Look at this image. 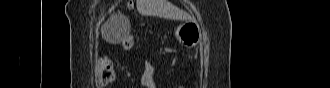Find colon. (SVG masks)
I'll use <instances>...</instances> for the list:
<instances>
[{
	"label": "colon",
	"instance_id": "colon-1",
	"mask_svg": "<svg viewBox=\"0 0 330 88\" xmlns=\"http://www.w3.org/2000/svg\"><path fill=\"white\" fill-rule=\"evenodd\" d=\"M120 44L124 49L129 50L134 45V39L132 36H126L121 40ZM99 78H100V83L102 85H108L115 81L116 71L110 59L108 58L102 59L100 65V71H99Z\"/></svg>",
	"mask_w": 330,
	"mask_h": 88
}]
</instances>
